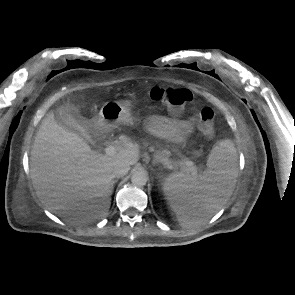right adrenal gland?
Returning <instances> with one entry per match:
<instances>
[{"label": "right adrenal gland", "mask_w": 295, "mask_h": 295, "mask_svg": "<svg viewBox=\"0 0 295 295\" xmlns=\"http://www.w3.org/2000/svg\"><path fill=\"white\" fill-rule=\"evenodd\" d=\"M118 181V178L113 180L112 184H115Z\"/></svg>", "instance_id": "right-adrenal-gland-1"}]
</instances>
